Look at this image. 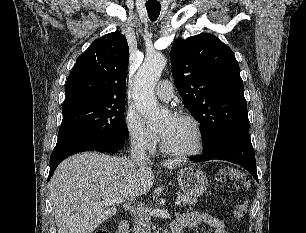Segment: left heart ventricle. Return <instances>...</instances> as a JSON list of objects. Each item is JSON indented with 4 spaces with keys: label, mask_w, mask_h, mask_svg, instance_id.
<instances>
[{
    "label": "left heart ventricle",
    "mask_w": 306,
    "mask_h": 233,
    "mask_svg": "<svg viewBox=\"0 0 306 233\" xmlns=\"http://www.w3.org/2000/svg\"><path fill=\"white\" fill-rule=\"evenodd\" d=\"M159 132L173 150L190 151L196 147L197 133L188 120L170 117L163 123Z\"/></svg>",
    "instance_id": "b2bd125f"
}]
</instances>
